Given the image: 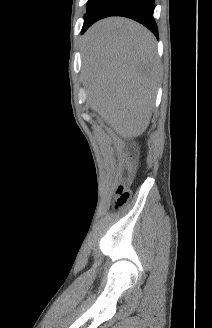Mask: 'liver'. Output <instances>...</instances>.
<instances>
[{
    "mask_svg": "<svg viewBox=\"0 0 212 328\" xmlns=\"http://www.w3.org/2000/svg\"><path fill=\"white\" fill-rule=\"evenodd\" d=\"M82 59L91 109L120 136L141 135L159 80L154 36L130 19H103L85 33Z\"/></svg>",
    "mask_w": 212,
    "mask_h": 328,
    "instance_id": "1",
    "label": "liver"
}]
</instances>
